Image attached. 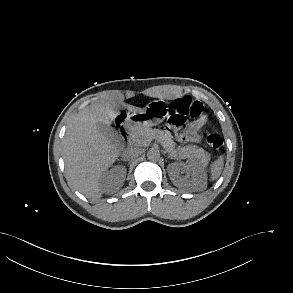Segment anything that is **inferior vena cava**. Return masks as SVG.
<instances>
[{"label":"inferior vena cava","mask_w":293,"mask_h":293,"mask_svg":"<svg viewBox=\"0 0 293 293\" xmlns=\"http://www.w3.org/2000/svg\"><path fill=\"white\" fill-rule=\"evenodd\" d=\"M140 153H141V149L134 147V148L125 150L122 154V157L124 159H130V158L137 157Z\"/></svg>","instance_id":"obj_1"}]
</instances>
